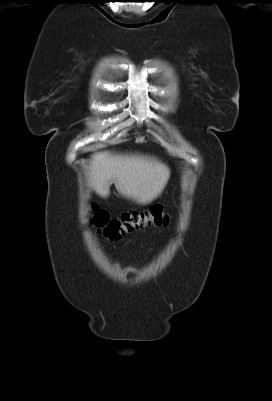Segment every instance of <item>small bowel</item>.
Listing matches in <instances>:
<instances>
[{
  "label": "small bowel",
  "mask_w": 272,
  "mask_h": 401,
  "mask_svg": "<svg viewBox=\"0 0 272 401\" xmlns=\"http://www.w3.org/2000/svg\"><path fill=\"white\" fill-rule=\"evenodd\" d=\"M124 271L127 274H135L137 272V269L132 267V266H127V267L124 268Z\"/></svg>",
  "instance_id": "small-bowel-1"
}]
</instances>
